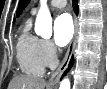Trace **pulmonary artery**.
Masks as SVG:
<instances>
[{
	"label": "pulmonary artery",
	"instance_id": "e3ab8cb5",
	"mask_svg": "<svg viewBox=\"0 0 107 89\" xmlns=\"http://www.w3.org/2000/svg\"><path fill=\"white\" fill-rule=\"evenodd\" d=\"M50 5L55 8H63L66 5V1L65 0H51ZM37 10H38V8L34 7L31 11L32 14H35L37 12Z\"/></svg>",
	"mask_w": 107,
	"mask_h": 89
}]
</instances>
